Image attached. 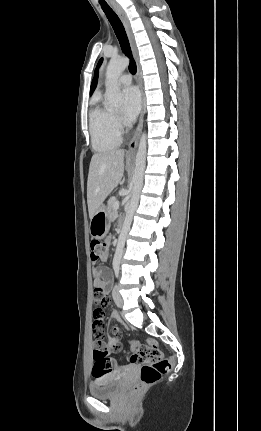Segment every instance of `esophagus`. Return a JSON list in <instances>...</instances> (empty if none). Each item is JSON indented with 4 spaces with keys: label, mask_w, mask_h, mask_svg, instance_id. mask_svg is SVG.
<instances>
[{
    "label": "esophagus",
    "mask_w": 261,
    "mask_h": 431,
    "mask_svg": "<svg viewBox=\"0 0 261 431\" xmlns=\"http://www.w3.org/2000/svg\"><path fill=\"white\" fill-rule=\"evenodd\" d=\"M114 8L118 14V16L120 17L123 26L126 30L130 45H131V49L136 61V68H137V81H138V85L140 88V92H141V114H140V118H139V122L138 125L136 127V130L134 132L133 138L131 139L130 143H129V154H133L138 146V141L140 138V134H141V130H142V126H143V117H144V101H145V97H144V89H143V83H142V78H141V67H140V63H139V56H138V51H137V47L134 41V36L130 27V23L129 20L125 14V12L116 4H114Z\"/></svg>",
    "instance_id": "esophagus-1"
}]
</instances>
